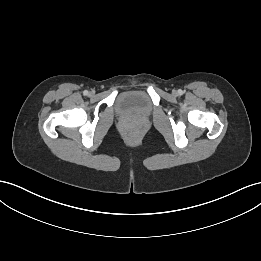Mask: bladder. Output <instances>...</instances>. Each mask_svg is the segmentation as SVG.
I'll use <instances>...</instances> for the list:
<instances>
[{
    "label": "bladder",
    "instance_id": "31cf9c89",
    "mask_svg": "<svg viewBox=\"0 0 261 261\" xmlns=\"http://www.w3.org/2000/svg\"><path fill=\"white\" fill-rule=\"evenodd\" d=\"M115 106L118 115L130 119L147 118L153 109L148 93L143 90L122 92L117 97Z\"/></svg>",
    "mask_w": 261,
    "mask_h": 261
}]
</instances>
